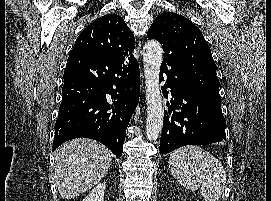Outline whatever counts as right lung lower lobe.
<instances>
[{
	"label": "right lung lower lobe",
	"mask_w": 271,
	"mask_h": 201,
	"mask_svg": "<svg viewBox=\"0 0 271 201\" xmlns=\"http://www.w3.org/2000/svg\"><path fill=\"white\" fill-rule=\"evenodd\" d=\"M139 91L136 59L126 63L91 52L70 53L53 150L68 140L85 137L101 142L121 157Z\"/></svg>",
	"instance_id": "98d812e1"
}]
</instances>
